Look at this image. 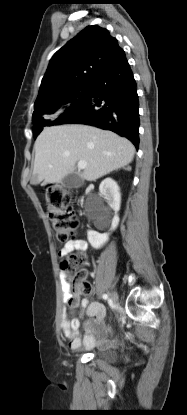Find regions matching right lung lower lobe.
<instances>
[{
	"label": "right lung lower lobe",
	"instance_id": "98d812e1",
	"mask_svg": "<svg viewBox=\"0 0 187 415\" xmlns=\"http://www.w3.org/2000/svg\"><path fill=\"white\" fill-rule=\"evenodd\" d=\"M139 102L130 65L123 51L92 81L91 91L75 101L52 125L86 124L111 130L139 146Z\"/></svg>",
	"mask_w": 187,
	"mask_h": 415
}]
</instances>
